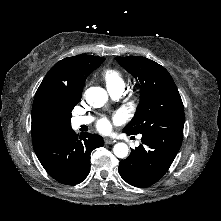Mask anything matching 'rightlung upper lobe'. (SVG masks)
Segmentation results:
<instances>
[{
    "label": "right lung upper lobe",
    "mask_w": 221,
    "mask_h": 221,
    "mask_svg": "<svg viewBox=\"0 0 221 221\" xmlns=\"http://www.w3.org/2000/svg\"><path fill=\"white\" fill-rule=\"evenodd\" d=\"M105 60L78 55L57 62L46 74L32 106L33 146L41 145L71 128L65 119L68 106L80 101L87 76Z\"/></svg>",
    "instance_id": "right-lung-upper-lobe-1"
}]
</instances>
